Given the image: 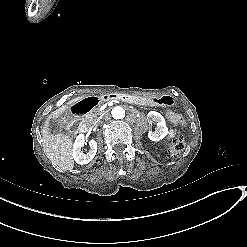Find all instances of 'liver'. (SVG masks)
Segmentation results:
<instances>
[{"label": "liver", "mask_w": 247, "mask_h": 247, "mask_svg": "<svg viewBox=\"0 0 247 247\" xmlns=\"http://www.w3.org/2000/svg\"><path fill=\"white\" fill-rule=\"evenodd\" d=\"M88 96L71 98L64 105L51 112L41 130V141L45 156L51 161L53 167L59 172L70 171L75 167L73 158L74 135L67 133H53L49 127L51 121L61 118L75 103Z\"/></svg>", "instance_id": "1"}]
</instances>
